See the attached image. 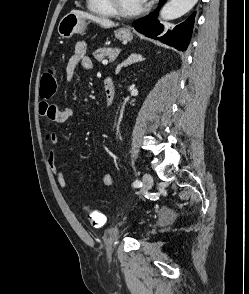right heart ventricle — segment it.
<instances>
[{"label": "right heart ventricle", "mask_w": 249, "mask_h": 294, "mask_svg": "<svg viewBox=\"0 0 249 294\" xmlns=\"http://www.w3.org/2000/svg\"><path fill=\"white\" fill-rule=\"evenodd\" d=\"M86 3L88 10L94 14L107 17L115 15L106 0H86Z\"/></svg>", "instance_id": "obj_1"}]
</instances>
